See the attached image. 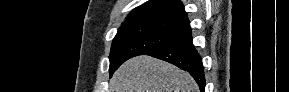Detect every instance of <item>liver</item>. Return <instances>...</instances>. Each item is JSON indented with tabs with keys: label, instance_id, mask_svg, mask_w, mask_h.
<instances>
[{
	"label": "liver",
	"instance_id": "1",
	"mask_svg": "<svg viewBox=\"0 0 289 92\" xmlns=\"http://www.w3.org/2000/svg\"><path fill=\"white\" fill-rule=\"evenodd\" d=\"M111 92H198L192 76L150 56H137L120 66L110 81Z\"/></svg>",
	"mask_w": 289,
	"mask_h": 92
}]
</instances>
